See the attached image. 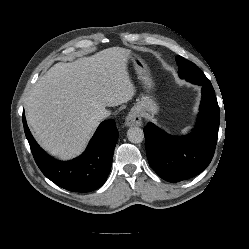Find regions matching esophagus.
Wrapping results in <instances>:
<instances>
[{
	"mask_svg": "<svg viewBox=\"0 0 249 249\" xmlns=\"http://www.w3.org/2000/svg\"><path fill=\"white\" fill-rule=\"evenodd\" d=\"M142 124V119L138 111L132 110L126 117L125 125L128 127H139Z\"/></svg>",
	"mask_w": 249,
	"mask_h": 249,
	"instance_id": "obj_1",
	"label": "esophagus"
}]
</instances>
